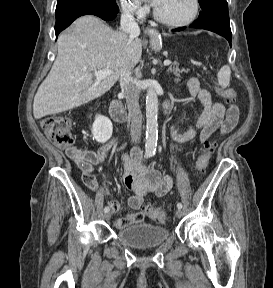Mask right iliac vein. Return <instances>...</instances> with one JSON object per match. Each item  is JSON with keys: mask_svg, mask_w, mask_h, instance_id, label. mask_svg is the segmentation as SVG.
<instances>
[{"mask_svg": "<svg viewBox=\"0 0 273 288\" xmlns=\"http://www.w3.org/2000/svg\"><path fill=\"white\" fill-rule=\"evenodd\" d=\"M110 218H111V213H110V212H106V213L104 214V219H105L106 221H108Z\"/></svg>", "mask_w": 273, "mask_h": 288, "instance_id": "right-iliac-vein-1", "label": "right iliac vein"}]
</instances>
